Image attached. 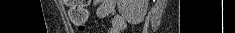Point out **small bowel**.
Returning a JSON list of instances; mask_svg holds the SVG:
<instances>
[{
    "mask_svg": "<svg viewBox=\"0 0 235 33\" xmlns=\"http://www.w3.org/2000/svg\"><path fill=\"white\" fill-rule=\"evenodd\" d=\"M96 16L105 20L111 17L108 33H122L126 28L124 18L116 12V2L114 0H96Z\"/></svg>",
    "mask_w": 235,
    "mask_h": 33,
    "instance_id": "c3829d8e",
    "label": "small bowel"
}]
</instances>
